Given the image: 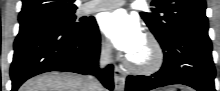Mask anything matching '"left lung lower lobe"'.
Listing matches in <instances>:
<instances>
[{
	"label": "left lung lower lobe",
	"mask_w": 220,
	"mask_h": 91,
	"mask_svg": "<svg viewBox=\"0 0 220 91\" xmlns=\"http://www.w3.org/2000/svg\"><path fill=\"white\" fill-rule=\"evenodd\" d=\"M162 68L151 76H128L126 91H148L184 84L198 91H215V67L208 34L180 32L165 43Z\"/></svg>",
	"instance_id": "left-lung-lower-lobe-1"
}]
</instances>
